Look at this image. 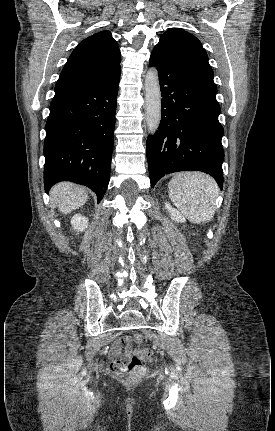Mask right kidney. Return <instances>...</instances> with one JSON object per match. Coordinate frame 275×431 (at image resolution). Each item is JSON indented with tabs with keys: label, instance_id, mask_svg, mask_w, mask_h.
Masks as SVG:
<instances>
[{
	"label": "right kidney",
	"instance_id": "right-kidney-1",
	"mask_svg": "<svg viewBox=\"0 0 275 431\" xmlns=\"http://www.w3.org/2000/svg\"><path fill=\"white\" fill-rule=\"evenodd\" d=\"M88 220L85 216H82L81 214H75L71 219V225L74 230L76 231H84L87 226Z\"/></svg>",
	"mask_w": 275,
	"mask_h": 431
}]
</instances>
